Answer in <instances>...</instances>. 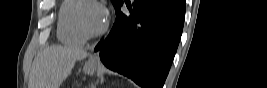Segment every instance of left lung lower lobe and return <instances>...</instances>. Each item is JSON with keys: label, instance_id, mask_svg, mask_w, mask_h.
Wrapping results in <instances>:
<instances>
[{"label": "left lung lower lobe", "instance_id": "1", "mask_svg": "<svg viewBox=\"0 0 267 88\" xmlns=\"http://www.w3.org/2000/svg\"><path fill=\"white\" fill-rule=\"evenodd\" d=\"M130 14L115 7L116 20L95 47L105 66L143 88H162L182 34L183 0H134Z\"/></svg>", "mask_w": 267, "mask_h": 88}]
</instances>
